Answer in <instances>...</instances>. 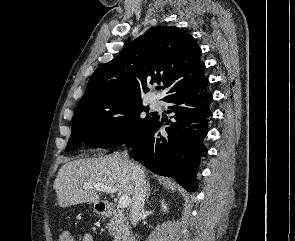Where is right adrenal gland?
Masks as SVG:
<instances>
[{
  "mask_svg": "<svg viewBox=\"0 0 295 241\" xmlns=\"http://www.w3.org/2000/svg\"><path fill=\"white\" fill-rule=\"evenodd\" d=\"M150 193H151V191H150V184H149V182H147V188H146V198L147 199L149 198Z\"/></svg>",
  "mask_w": 295,
  "mask_h": 241,
  "instance_id": "1",
  "label": "right adrenal gland"
}]
</instances>
